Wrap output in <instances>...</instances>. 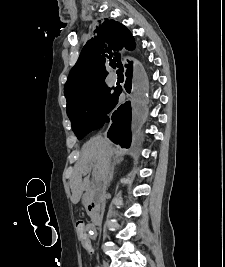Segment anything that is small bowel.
<instances>
[{"label": "small bowel", "instance_id": "small-bowel-1", "mask_svg": "<svg viewBox=\"0 0 225 267\" xmlns=\"http://www.w3.org/2000/svg\"><path fill=\"white\" fill-rule=\"evenodd\" d=\"M90 231H93V226L87 225L85 228V236L82 237L80 234H78V238L82 245L88 250V252L92 253L93 249L90 244Z\"/></svg>", "mask_w": 225, "mask_h": 267}]
</instances>
